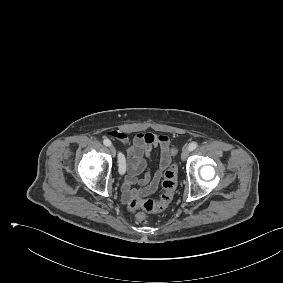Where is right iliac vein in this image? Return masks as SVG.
<instances>
[{"mask_svg": "<svg viewBox=\"0 0 283 283\" xmlns=\"http://www.w3.org/2000/svg\"><path fill=\"white\" fill-rule=\"evenodd\" d=\"M110 152H111L112 156L116 155V150L113 146H110Z\"/></svg>", "mask_w": 283, "mask_h": 283, "instance_id": "right-iliac-vein-1", "label": "right iliac vein"}]
</instances>
